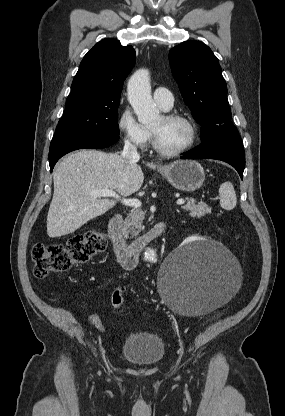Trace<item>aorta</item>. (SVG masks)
Here are the masks:
<instances>
[{"instance_id":"aorta-1","label":"aorta","mask_w":285,"mask_h":416,"mask_svg":"<svg viewBox=\"0 0 285 416\" xmlns=\"http://www.w3.org/2000/svg\"><path fill=\"white\" fill-rule=\"evenodd\" d=\"M128 100L142 124H149L159 117V111L151 96V85L149 71L137 70L129 79L127 85ZM155 256L152 249L145 251V258L151 259Z\"/></svg>"}]
</instances>
